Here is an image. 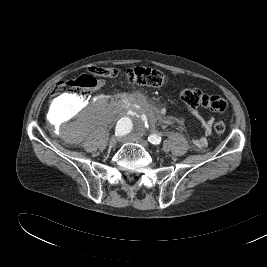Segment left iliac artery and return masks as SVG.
<instances>
[{
    "instance_id": "1",
    "label": "left iliac artery",
    "mask_w": 267,
    "mask_h": 267,
    "mask_svg": "<svg viewBox=\"0 0 267 267\" xmlns=\"http://www.w3.org/2000/svg\"><path fill=\"white\" fill-rule=\"evenodd\" d=\"M148 141L150 143H152L153 145H158L162 142V139L160 136L156 135V134H152L148 137Z\"/></svg>"
}]
</instances>
